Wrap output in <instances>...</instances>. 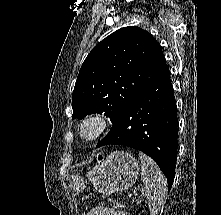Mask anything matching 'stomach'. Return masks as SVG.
Listing matches in <instances>:
<instances>
[{
  "instance_id": "stomach-1",
  "label": "stomach",
  "mask_w": 221,
  "mask_h": 215,
  "mask_svg": "<svg viewBox=\"0 0 221 215\" xmlns=\"http://www.w3.org/2000/svg\"><path fill=\"white\" fill-rule=\"evenodd\" d=\"M138 173V162L131 154L115 151L97 162L85 177L79 173H74L71 177L77 193L82 192L89 181L98 192L111 195L132 187L138 178Z\"/></svg>"
}]
</instances>
